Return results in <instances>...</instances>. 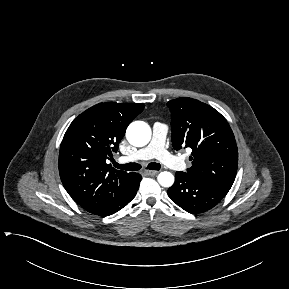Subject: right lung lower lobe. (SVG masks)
I'll return each instance as SVG.
<instances>
[{
    "instance_id": "98d812e1",
    "label": "right lung lower lobe",
    "mask_w": 289,
    "mask_h": 289,
    "mask_svg": "<svg viewBox=\"0 0 289 289\" xmlns=\"http://www.w3.org/2000/svg\"><path fill=\"white\" fill-rule=\"evenodd\" d=\"M142 177L138 173H132L128 188L113 202L100 210L96 215L109 216L125 207L136 195Z\"/></svg>"
}]
</instances>
